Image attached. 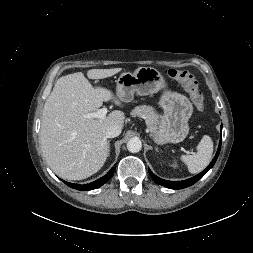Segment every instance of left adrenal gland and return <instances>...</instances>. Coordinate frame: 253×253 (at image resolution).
Listing matches in <instances>:
<instances>
[{
    "label": "left adrenal gland",
    "instance_id": "left-adrenal-gland-1",
    "mask_svg": "<svg viewBox=\"0 0 253 253\" xmlns=\"http://www.w3.org/2000/svg\"><path fill=\"white\" fill-rule=\"evenodd\" d=\"M155 150H156V151H158V148H157V147H155Z\"/></svg>",
    "mask_w": 253,
    "mask_h": 253
}]
</instances>
